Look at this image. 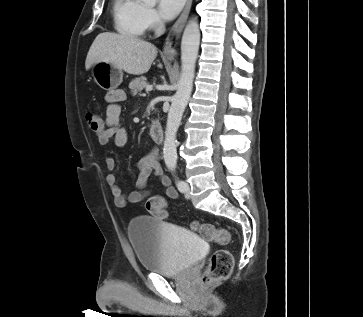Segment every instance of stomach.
<instances>
[{
	"label": "stomach",
	"mask_w": 363,
	"mask_h": 317,
	"mask_svg": "<svg viewBox=\"0 0 363 317\" xmlns=\"http://www.w3.org/2000/svg\"><path fill=\"white\" fill-rule=\"evenodd\" d=\"M94 81L104 90H114L122 82L123 72L110 63H95L91 70Z\"/></svg>",
	"instance_id": "1"
}]
</instances>
